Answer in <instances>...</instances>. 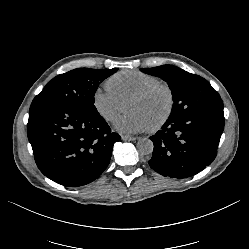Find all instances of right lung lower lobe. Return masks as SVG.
<instances>
[{
    "label": "right lung lower lobe",
    "mask_w": 249,
    "mask_h": 249,
    "mask_svg": "<svg viewBox=\"0 0 249 249\" xmlns=\"http://www.w3.org/2000/svg\"><path fill=\"white\" fill-rule=\"evenodd\" d=\"M27 130L38 168L68 187L97 179L110 162L114 143L120 140L97 111L68 105L30 110Z\"/></svg>",
    "instance_id": "obj_1"
}]
</instances>
